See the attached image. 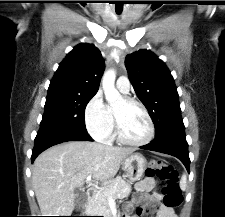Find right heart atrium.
Returning a JSON list of instances; mask_svg holds the SVG:
<instances>
[{"instance_id": "d8ad5b80", "label": "right heart atrium", "mask_w": 225, "mask_h": 217, "mask_svg": "<svg viewBox=\"0 0 225 217\" xmlns=\"http://www.w3.org/2000/svg\"><path fill=\"white\" fill-rule=\"evenodd\" d=\"M84 121L89 134L97 140H108L114 129V120L105 105L101 92H97L86 104Z\"/></svg>"}]
</instances>
